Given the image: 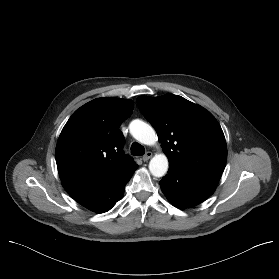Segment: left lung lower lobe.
Here are the masks:
<instances>
[{"instance_id": "0a47b994", "label": "left lung lower lobe", "mask_w": 279, "mask_h": 279, "mask_svg": "<svg viewBox=\"0 0 279 279\" xmlns=\"http://www.w3.org/2000/svg\"><path fill=\"white\" fill-rule=\"evenodd\" d=\"M221 174L185 169L169 164L168 174L160 181L167 199L178 208L195 206L216 189Z\"/></svg>"}]
</instances>
